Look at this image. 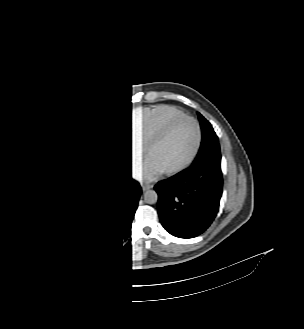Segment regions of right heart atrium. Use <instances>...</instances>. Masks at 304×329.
<instances>
[{"instance_id": "right-heart-atrium-1", "label": "right heart atrium", "mask_w": 304, "mask_h": 329, "mask_svg": "<svg viewBox=\"0 0 304 329\" xmlns=\"http://www.w3.org/2000/svg\"><path fill=\"white\" fill-rule=\"evenodd\" d=\"M113 148L116 155L132 169L137 168L143 160V153L131 143L127 133L122 130L114 132Z\"/></svg>"}]
</instances>
